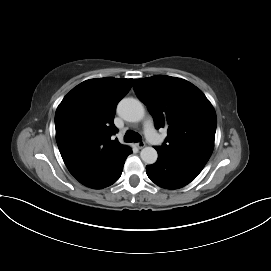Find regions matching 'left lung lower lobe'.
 <instances>
[{
  "instance_id": "0a47b994",
  "label": "left lung lower lobe",
  "mask_w": 271,
  "mask_h": 271,
  "mask_svg": "<svg viewBox=\"0 0 271 271\" xmlns=\"http://www.w3.org/2000/svg\"><path fill=\"white\" fill-rule=\"evenodd\" d=\"M158 160L146 166L148 177L158 186L167 189H178L190 183L203 169L205 163L195 159L170 155L155 147Z\"/></svg>"
}]
</instances>
